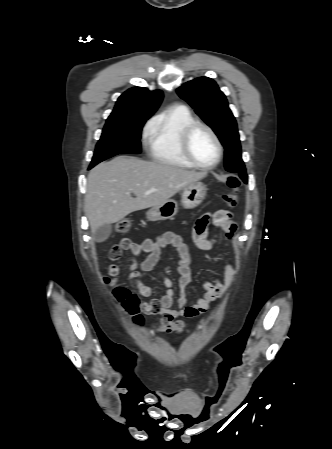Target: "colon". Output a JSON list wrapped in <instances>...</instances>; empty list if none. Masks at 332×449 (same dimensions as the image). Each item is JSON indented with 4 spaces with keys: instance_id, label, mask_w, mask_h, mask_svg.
<instances>
[{
    "instance_id": "1",
    "label": "colon",
    "mask_w": 332,
    "mask_h": 449,
    "mask_svg": "<svg viewBox=\"0 0 332 449\" xmlns=\"http://www.w3.org/2000/svg\"><path fill=\"white\" fill-rule=\"evenodd\" d=\"M227 186L229 191L222 196L225 205L229 208H234L239 203V181L235 176H229L227 178ZM132 229V223L130 220H122L117 225V231L120 233H129ZM128 242L126 239L122 240L119 244L114 245L109 252V259L112 261H118L123 253V250L127 248ZM114 294L118 301H120L127 311L133 315L134 321L140 324L142 319L139 313V303L135 295L125 287H117L114 290ZM157 328L163 333H180L184 329V324L181 320L174 319L171 315H163L158 323Z\"/></svg>"
}]
</instances>
